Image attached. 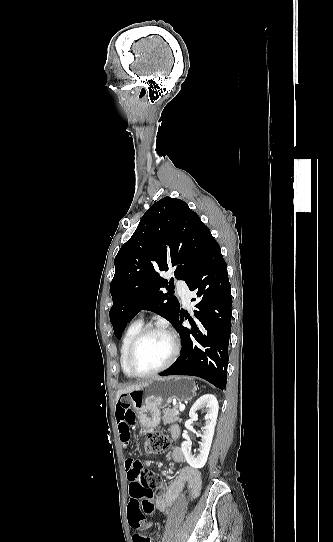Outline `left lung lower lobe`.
<instances>
[{
  "mask_svg": "<svg viewBox=\"0 0 333 542\" xmlns=\"http://www.w3.org/2000/svg\"><path fill=\"white\" fill-rule=\"evenodd\" d=\"M198 299L196 321L185 313L191 329L182 326L183 310L174 326L182 341L181 354L161 376L201 377L217 388L227 382L228 344L231 332V285L219 244L212 237L195 273L186 280Z\"/></svg>",
  "mask_w": 333,
  "mask_h": 542,
  "instance_id": "left-lung-lower-lobe-1",
  "label": "left lung lower lobe"
}]
</instances>
